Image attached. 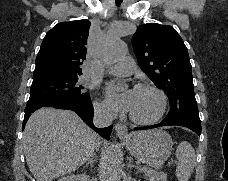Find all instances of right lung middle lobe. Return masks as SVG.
Instances as JSON below:
<instances>
[{"instance_id":"dd1d6c3e","label":"right lung middle lobe","mask_w":228,"mask_h":181,"mask_svg":"<svg viewBox=\"0 0 228 181\" xmlns=\"http://www.w3.org/2000/svg\"><path fill=\"white\" fill-rule=\"evenodd\" d=\"M74 74L49 75L33 78L29 100L60 99L77 104L91 103L90 95L84 87L77 84Z\"/></svg>"}]
</instances>
